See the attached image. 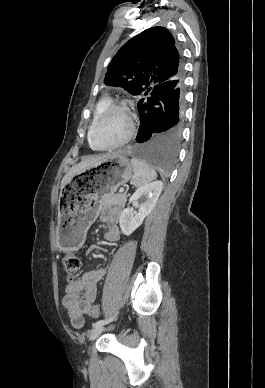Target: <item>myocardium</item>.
Masks as SVG:
<instances>
[{"label":"myocardium","instance_id":"f54148a6","mask_svg":"<svg viewBox=\"0 0 265 388\" xmlns=\"http://www.w3.org/2000/svg\"><path fill=\"white\" fill-rule=\"evenodd\" d=\"M111 110H118L127 116V118H128V130H127L126 134L121 138V140H119L117 143H114L111 145H104V144H101L98 142V140L96 138V130H97V126H98L99 122L101 121V119ZM134 130H135V123H134L130 109L127 106L122 105V104L110 103L106 107H104L102 109V111L98 114V116L95 118V120L92 124V127H91L90 136H91L92 143L95 147L104 148V149H115V148H120V147L124 146L125 144H127L131 140L133 133H134Z\"/></svg>","mask_w":265,"mask_h":388}]
</instances>
